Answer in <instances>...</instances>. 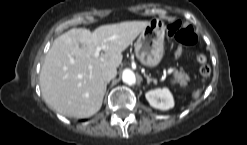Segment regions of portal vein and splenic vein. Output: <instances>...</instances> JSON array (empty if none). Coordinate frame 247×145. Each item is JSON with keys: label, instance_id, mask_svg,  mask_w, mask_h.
Returning <instances> with one entry per match:
<instances>
[{"label": "portal vein and splenic vein", "instance_id": "1", "mask_svg": "<svg viewBox=\"0 0 247 145\" xmlns=\"http://www.w3.org/2000/svg\"><path fill=\"white\" fill-rule=\"evenodd\" d=\"M111 39H114V37H112ZM103 48H104V46H98V47L95 49L93 56H94V57H99L100 51H101Z\"/></svg>", "mask_w": 247, "mask_h": 145}]
</instances>
